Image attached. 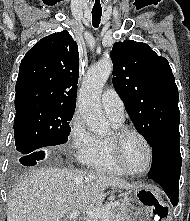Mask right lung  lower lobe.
Listing matches in <instances>:
<instances>
[{"mask_svg":"<svg viewBox=\"0 0 190 221\" xmlns=\"http://www.w3.org/2000/svg\"><path fill=\"white\" fill-rule=\"evenodd\" d=\"M45 151H48V148L39 149L30 154L23 155L20 158V163L25 166H33L36 164V160H42L45 157Z\"/></svg>","mask_w":190,"mask_h":221,"instance_id":"1","label":"right lung lower lobe"}]
</instances>
